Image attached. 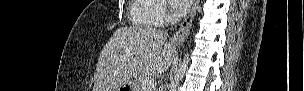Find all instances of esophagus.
Masks as SVG:
<instances>
[{"label":"esophagus","instance_id":"esophagus-1","mask_svg":"<svg viewBox=\"0 0 304 91\" xmlns=\"http://www.w3.org/2000/svg\"><path fill=\"white\" fill-rule=\"evenodd\" d=\"M199 0H194L192 9L187 17L180 23L178 30L171 38V42L175 45H181L187 39L189 31L192 25V21L196 15L197 7L199 5Z\"/></svg>","mask_w":304,"mask_h":91}]
</instances>
